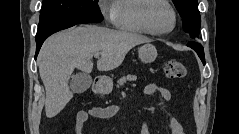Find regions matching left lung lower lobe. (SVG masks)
Wrapping results in <instances>:
<instances>
[{"label":"left lung lower lobe","mask_w":239,"mask_h":134,"mask_svg":"<svg viewBox=\"0 0 239 134\" xmlns=\"http://www.w3.org/2000/svg\"><path fill=\"white\" fill-rule=\"evenodd\" d=\"M188 46L191 47L192 49H194L197 52V54L200 57V59L202 60L203 64H205V57H204L203 47L196 42H190V43H188Z\"/></svg>","instance_id":"obj_1"}]
</instances>
